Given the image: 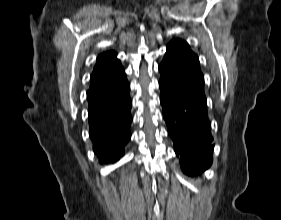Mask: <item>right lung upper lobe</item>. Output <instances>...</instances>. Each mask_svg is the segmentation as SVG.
<instances>
[{
    "label": "right lung upper lobe",
    "mask_w": 281,
    "mask_h": 220,
    "mask_svg": "<svg viewBox=\"0 0 281 220\" xmlns=\"http://www.w3.org/2000/svg\"><path fill=\"white\" fill-rule=\"evenodd\" d=\"M115 51L100 54L90 79V90L114 87L126 79Z\"/></svg>",
    "instance_id": "cb5924a9"
}]
</instances>
